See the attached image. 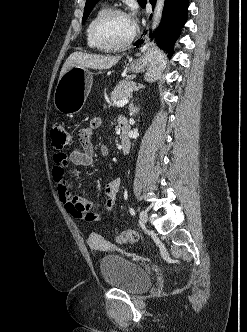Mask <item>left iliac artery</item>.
<instances>
[{"instance_id": "obj_1", "label": "left iliac artery", "mask_w": 247, "mask_h": 332, "mask_svg": "<svg viewBox=\"0 0 247 332\" xmlns=\"http://www.w3.org/2000/svg\"><path fill=\"white\" fill-rule=\"evenodd\" d=\"M130 213L132 214V215H135V210H134V208H130Z\"/></svg>"}]
</instances>
